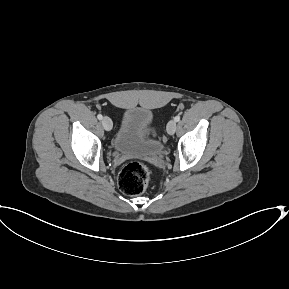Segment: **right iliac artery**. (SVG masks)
<instances>
[{
	"mask_svg": "<svg viewBox=\"0 0 289 289\" xmlns=\"http://www.w3.org/2000/svg\"><path fill=\"white\" fill-rule=\"evenodd\" d=\"M97 118H98L99 120H102V119H103L102 114H98V115H97Z\"/></svg>",
	"mask_w": 289,
	"mask_h": 289,
	"instance_id": "1",
	"label": "right iliac artery"
}]
</instances>
